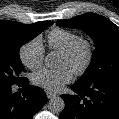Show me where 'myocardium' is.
<instances>
[{"label":"myocardium","mask_w":119,"mask_h":119,"mask_svg":"<svg viewBox=\"0 0 119 119\" xmlns=\"http://www.w3.org/2000/svg\"><path fill=\"white\" fill-rule=\"evenodd\" d=\"M83 52V62L78 66L73 73L76 76L83 75L90 67L94 57V47L90 40L80 37L70 47L61 52V55L66 58L72 59L77 56L78 53Z\"/></svg>","instance_id":"myocardium-1"}]
</instances>
